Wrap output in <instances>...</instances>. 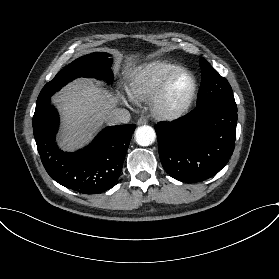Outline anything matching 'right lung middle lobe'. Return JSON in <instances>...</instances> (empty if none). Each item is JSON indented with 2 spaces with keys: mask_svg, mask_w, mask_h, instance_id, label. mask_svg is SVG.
Here are the masks:
<instances>
[{
  "mask_svg": "<svg viewBox=\"0 0 279 279\" xmlns=\"http://www.w3.org/2000/svg\"><path fill=\"white\" fill-rule=\"evenodd\" d=\"M109 56L108 53L95 52L76 59L59 71L54 79L44 86L38 96L37 104L50 99L61 87L78 77H95L108 82L112 81L110 69L112 59Z\"/></svg>",
  "mask_w": 279,
  "mask_h": 279,
  "instance_id": "obj_1",
  "label": "right lung middle lobe"
}]
</instances>
